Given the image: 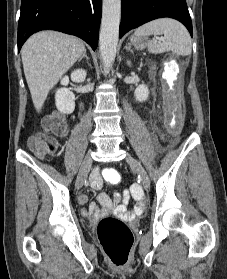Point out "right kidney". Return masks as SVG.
I'll return each mask as SVG.
<instances>
[{
    "label": "right kidney",
    "instance_id": "right-kidney-1",
    "mask_svg": "<svg viewBox=\"0 0 227 279\" xmlns=\"http://www.w3.org/2000/svg\"><path fill=\"white\" fill-rule=\"evenodd\" d=\"M86 71L84 69H76L71 73V80L74 82H82L85 80ZM69 77L65 76L61 80V85L67 86ZM55 103L57 109L64 114H71L75 109V95L66 87H62L56 91Z\"/></svg>",
    "mask_w": 227,
    "mask_h": 279
}]
</instances>
